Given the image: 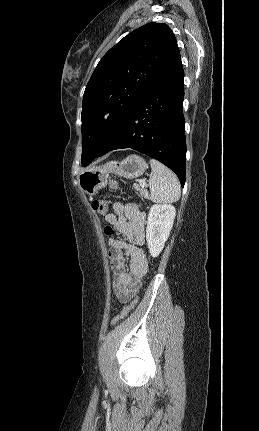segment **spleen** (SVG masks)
<instances>
[{"label":"spleen","mask_w":259,"mask_h":431,"mask_svg":"<svg viewBox=\"0 0 259 431\" xmlns=\"http://www.w3.org/2000/svg\"><path fill=\"white\" fill-rule=\"evenodd\" d=\"M149 188L151 200L155 203H174L181 195L180 182L177 176L161 162L151 159Z\"/></svg>","instance_id":"1"}]
</instances>
